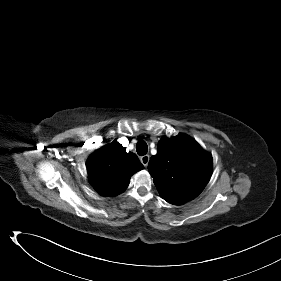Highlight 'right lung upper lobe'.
I'll use <instances>...</instances> for the list:
<instances>
[{"instance_id":"cb5924a9","label":"right lung upper lobe","mask_w":281,"mask_h":281,"mask_svg":"<svg viewBox=\"0 0 281 281\" xmlns=\"http://www.w3.org/2000/svg\"><path fill=\"white\" fill-rule=\"evenodd\" d=\"M89 181L101 196H115L122 193L130 177L143 169L134 153H127L116 142L105 145L91 154L87 162Z\"/></svg>"}]
</instances>
